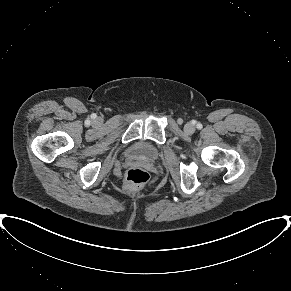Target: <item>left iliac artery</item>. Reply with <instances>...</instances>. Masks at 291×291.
<instances>
[{"label": "left iliac artery", "mask_w": 291, "mask_h": 291, "mask_svg": "<svg viewBox=\"0 0 291 291\" xmlns=\"http://www.w3.org/2000/svg\"><path fill=\"white\" fill-rule=\"evenodd\" d=\"M202 125L201 124H197V127L200 128Z\"/></svg>", "instance_id": "1"}]
</instances>
